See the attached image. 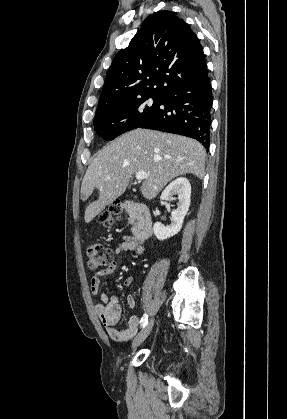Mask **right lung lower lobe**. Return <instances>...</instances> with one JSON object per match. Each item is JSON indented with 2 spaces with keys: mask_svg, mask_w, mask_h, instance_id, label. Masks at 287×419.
<instances>
[{
  "mask_svg": "<svg viewBox=\"0 0 287 419\" xmlns=\"http://www.w3.org/2000/svg\"><path fill=\"white\" fill-rule=\"evenodd\" d=\"M212 87L208 72L182 83L161 99L156 111L139 128L153 129L194 138L210 146Z\"/></svg>",
  "mask_w": 287,
  "mask_h": 419,
  "instance_id": "right-lung-lower-lobe-1",
  "label": "right lung lower lobe"
}]
</instances>
